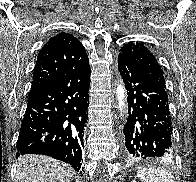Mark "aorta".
I'll use <instances>...</instances> for the list:
<instances>
[{"label": "aorta", "mask_w": 196, "mask_h": 182, "mask_svg": "<svg viewBox=\"0 0 196 182\" xmlns=\"http://www.w3.org/2000/svg\"><path fill=\"white\" fill-rule=\"evenodd\" d=\"M116 94H117V100L119 103V109L121 112L122 111L124 112L126 104H125V88L123 84H119L117 86Z\"/></svg>", "instance_id": "1"}]
</instances>
